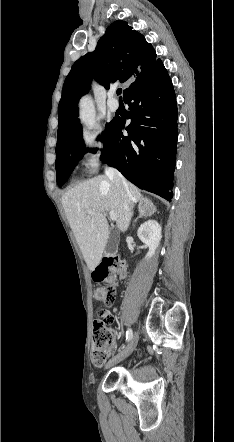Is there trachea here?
I'll return each mask as SVG.
<instances>
[{"mask_svg":"<svg viewBox=\"0 0 234 442\" xmlns=\"http://www.w3.org/2000/svg\"><path fill=\"white\" fill-rule=\"evenodd\" d=\"M121 93H122V89H117V95H121ZM120 99H121V97H120Z\"/></svg>","mask_w":234,"mask_h":442,"instance_id":"1","label":"trachea"}]
</instances>
